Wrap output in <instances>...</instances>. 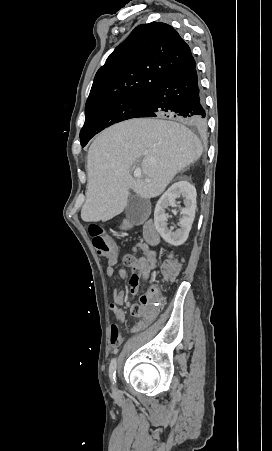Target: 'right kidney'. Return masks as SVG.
I'll list each match as a JSON object with an SVG mask.
<instances>
[{"mask_svg":"<svg viewBox=\"0 0 272 451\" xmlns=\"http://www.w3.org/2000/svg\"><path fill=\"white\" fill-rule=\"evenodd\" d=\"M180 196L183 198L185 208L181 210L182 218L178 222V229L173 231V229L168 227L167 220L169 216L166 214V210L168 206L178 208L176 198H180ZM196 196L195 186L183 180V182L172 184L158 200L154 212V224L163 239L171 243V245H181V243L186 241L195 218V210L197 208Z\"/></svg>","mask_w":272,"mask_h":451,"instance_id":"obj_1","label":"right kidney"}]
</instances>
